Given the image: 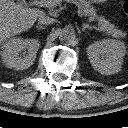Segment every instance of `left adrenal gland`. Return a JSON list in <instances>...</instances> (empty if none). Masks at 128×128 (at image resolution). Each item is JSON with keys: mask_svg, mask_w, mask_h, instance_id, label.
I'll list each match as a JSON object with an SVG mask.
<instances>
[{"mask_svg": "<svg viewBox=\"0 0 128 128\" xmlns=\"http://www.w3.org/2000/svg\"><path fill=\"white\" fill-rule=\"evenodd\" d=\"M85 29L92 30L93 28L91 26H89L88 24L83 23V25H82V31H85Z\"/></svg>", "mask_w": 128, "mask_h": 128, "instance_id": "obj_1", "label": "left adrenal gland"}]
</instances>
